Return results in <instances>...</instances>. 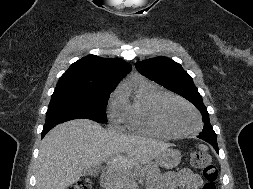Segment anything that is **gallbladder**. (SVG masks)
I'll return each mask as SVG.
<instances>
[{"instance_id": "1", "label": "gallbladder", "mask_w": 253, "mask_h": 189, "mask_svg": "<svg viewBox=\"0 0 253 189\" xmlns=\"http://www.w3.org/2000/svg\"><path fill=\"white\" fill-rule=\"evenodd\" d=\"M97 174H98V170L96 168L86 169L83 171V175L96 176Z\"/></svg>"}]
</instances>
